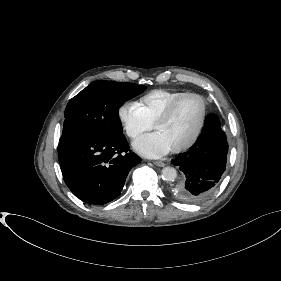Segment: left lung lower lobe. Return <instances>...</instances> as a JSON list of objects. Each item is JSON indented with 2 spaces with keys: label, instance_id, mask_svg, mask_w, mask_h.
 <instances>
[{
  "label": "left lung lower lobe",
  "instance_id": "0a47b994",
  "mask_svg": "<svg viewBox=\"0 0 281 281\" xmlns=\"http://www.w3.org/2000/svg\"><path fill=\"white\" fill-rule=\"evenodd\" d=\"M228 143L218 118L208 114L195 144L172 163L184 173L176 187L177 197L188 203H199L216 190L225 171Z\"/></svg>",
  "mask_w": 281,
  "mask_h": 281
}]
</instances>
